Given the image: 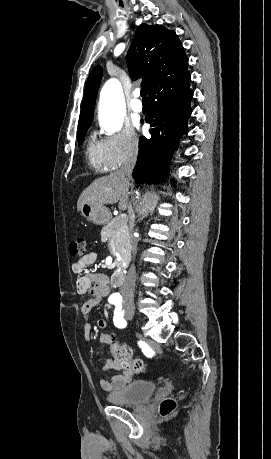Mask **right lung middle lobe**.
I'll list each match as a JSON object with an SVG mask.
<instances>
[{"mask_svg":"<svg viewBox=\"0 0 271 459\" xmlns=\"http://www.w3.org/2000/svg\"><path fill=\"white\" fill-rule=\"evenodd\" d=\"M91 121H92V119L84 120V121H80L79 124H78L77 140H78V142L80 144H82V142L84 140V137H85V134H86V130L90 126Z\"/></svg>","mask_w":271,"mask_h":459,"instance_id":"1","label":"right lung middle lobe"}]
</instances>
